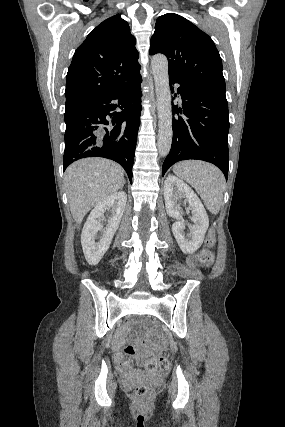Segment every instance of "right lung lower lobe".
Here are the masks:
<instances>
[{"label":"right lung lower lobe","instance_id":"right-lung-lower-lobe-1","mask_svg":"<svg viewBox=\"0 0 285 427\" xmlns=\"http://www.w3.org/2000/svg\"><path fill=\"white\" fill-rule=\"evenodd\" d=\"M141 82L139 76L116 91L66 107L64 170L81 158L104 157L118 162L132 182L140 124ZM114 100L120 105L112 103ZM117 106L121 112L115 111ZM111 121L113 128L110 126Z\"/></svg>","mask_w":285,"mask_h":427}]
</instances>
